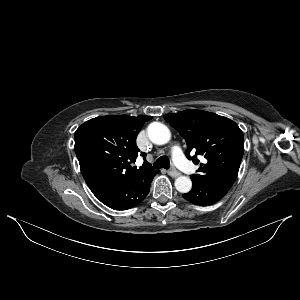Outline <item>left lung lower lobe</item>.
Masks as SVG:
<instances>
[{
    "mask_svg": "<svg viewBox=\"0 0 300 300\" xmlns=\"http://www.w3.org/2000/svg\"><path fill=\"white\" fill-rule=\"evenodd\" d=\"M192 182L193 187L191 191L183 194L182 196L189 202L196 205H212L223 198L228 192L224 189L203 185L196 181Z\"/></svg>",
    "mask_w": 300,
    "mask_h": 300,
    "instance_id": "0a47b994",
    "label": "left lung lower lobe"
}]
</instances>
